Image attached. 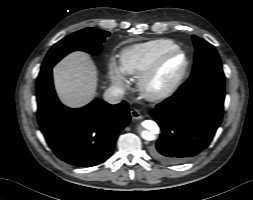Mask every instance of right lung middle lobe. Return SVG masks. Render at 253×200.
<instances>
[{
  "instance_id": "1",
  "label": "right lung middle lobe",
  "mask_w": 253,
  "mask_h": 200,
  "mask_svg": "<svg viewBox=\"0 0 253 200\" xmlns=\"http://www.w3.org/2000/svg\"><path fill=\"white\" fill-rule=\"evenodd\" d=\"M109 32L95 28H86L71 34L57 42L47 53L41 69L53 67L59 60L72 51L97 53L101 50Z\"/></svg>"
}]
</instances>
